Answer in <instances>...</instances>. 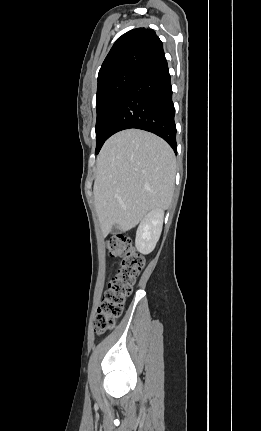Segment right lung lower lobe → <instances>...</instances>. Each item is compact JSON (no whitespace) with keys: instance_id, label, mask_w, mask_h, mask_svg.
I'll return each mask as SVG.
<instances>
[{"instance_id":"98d812e1","label":"right lung lower lobe","mask_w":261,"mask_h":431,"mask_svg":"<svg viewBox=\"0 0 261 431\" xmlns=\"http://www.w3.org/2000/svg\"><path fill=\"white\" fill-rule=\"evenodd\" d=\"M170 74L164 54L140 70L114 117L109 135L137 128L163 138L177 153Z\"/></svg>"}]
</instances>
